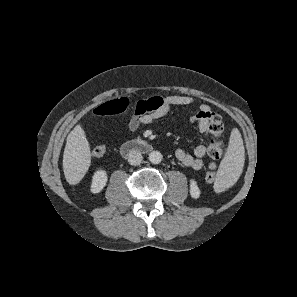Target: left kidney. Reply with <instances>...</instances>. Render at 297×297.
I'll return each mask as SVG.
<instances>
[{"label":"left kidney","mask_w":297,"mask_h":297,"mask_svg":"<svg viewBox=\"0 0 297 297\" xmlns=\"http://www.w3.org/2000/svg\"><path fill=\"white\" fill-rule=\"evenodd\" d=\"M201 190L194 179L190 180V195L197 199L200 196Z\"/></svg>","instance_id":"5707ae66"}]
</instances>
